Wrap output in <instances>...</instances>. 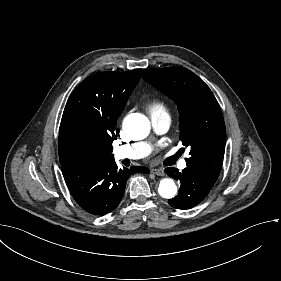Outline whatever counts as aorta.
Here are the masks:
<instances>
[{
	"label": "aorta",
	"instance_id": "aorta-1",
	"mask_svg": "<svg viewBox=\"0 0 281 281\" xmlns=\"http://www.w3.org/2000/svg\"><path fill=\"white\" fill-rule=\"evenodd\" d=\"M123 127L125 132L135 140L146 138L150 132L148 118L139 113H133L127 116ZM158 192L161 197L171 199L177 193V186L172 179H162L159 183Z\"/></svg>",
	"mask_w": 281,
	"mask_h": 281
}]
</instances>
